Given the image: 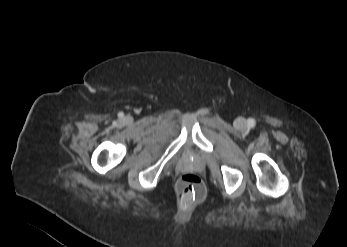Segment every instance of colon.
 I'll return each instance as SVG.
<instances>
[{
  "label": "colon",
  "mask_w": 347,
  "mask_h": 247,
  "mask_svg": "<svg viewBox=\"0 0 347 247\" xmlns=\"http://www.w3.org/2000/svg\"><path fill=\"white\" fill-rule=\"evenodd\" d=\"M177 193L185 202L201 201L205 196V187L200 178L193 174H184L177 183Z\"/></svg>",
  "instance_id": "5ec220e1"
}]
</instances>
